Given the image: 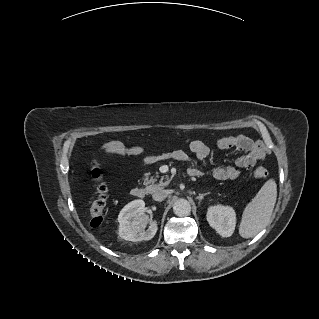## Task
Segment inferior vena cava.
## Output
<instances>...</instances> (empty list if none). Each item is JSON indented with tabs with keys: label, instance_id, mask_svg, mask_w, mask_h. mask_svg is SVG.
Masks as SVG:
<instances>
[{
	"label": "inferior vena cava",
	"instance_id": "602c4592",
	"mask_svg": "<svg viewBox=\"0 0 319 319\" xmlns=\"http://www.w3.org/2000/svg\"><path fill=\"white\" fill-rule=\"evenodd\" d=\"M168 196V192L166 190H158L153 193L152 198L155 201H162Z\"/></svg>",
	"mask_w": 319,
	"mask_h": 319
}]
</instances>
